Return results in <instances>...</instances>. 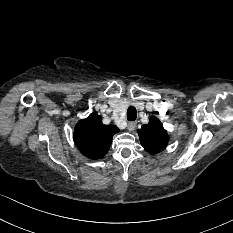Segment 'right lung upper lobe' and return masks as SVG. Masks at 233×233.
<instances>
[{
  "label": "right lung upper lobe",
  "mask_w": 233,
  "mask_h": 233,
  "mask_svg": "<svg viewBox=\"0 0 233 233\" xmlns=\"http://www.w3.org/2000/svg\"><path fill=\"white\" fill-rule=\"evenodd\" d=\"M117 132L115 125H104L101 116L92 113L75 126L74 142L86 157L96 160L108 152Z\"/></svg>",
  "instance_id": "1"
}]
</instances>
